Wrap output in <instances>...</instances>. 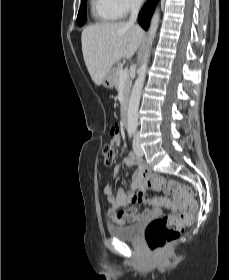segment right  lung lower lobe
I'll return each instance as SVG.
<instances>
[{
  "instance_id": "1",
  "label": "right lung lower lobe",
  "mask_w": 229,
  "mask_h": 280,
  "mask_svg": "<svg viewBox=\"0 0 229 280\" xmlns=\"http://www.w3.org/2000/svg\"><path fill=\"white\" fill-rule=\"evenodd\" d=\"M158 0H153L152 2H148L145 4L143 9L140 11L138 16L139 24L147 30L149 27L150 18L152 16V13L154 11L155 5Z\"/></svg>"
}]
</instances>
